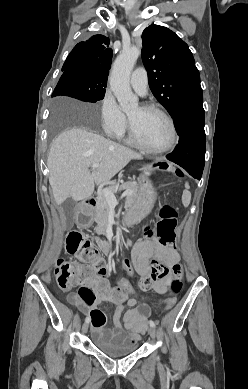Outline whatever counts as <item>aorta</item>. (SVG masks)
Returning <instances> with one entry per match:
<instances>
[{"label": "aorta", "instance_id": "obj_1", "mask_svg": "<svg viewBox=\"0 0 248 389\" xmlns=\"http://www.w3.org/2000/svg\"><path fill=\"white\" fill-rule=\"evenodd\" d=\"M137 47L123 48L116 58L110 76V87L123 111H129L138 106V98L130 87V74L140 56Z\"/></svg>", "mask_w": 248, "mask_h": 389}]
</instances>
